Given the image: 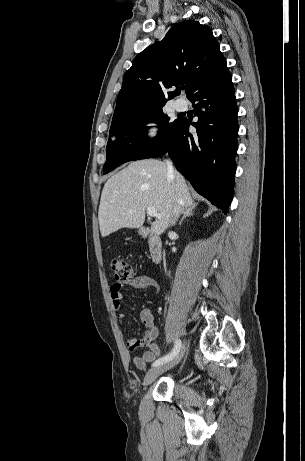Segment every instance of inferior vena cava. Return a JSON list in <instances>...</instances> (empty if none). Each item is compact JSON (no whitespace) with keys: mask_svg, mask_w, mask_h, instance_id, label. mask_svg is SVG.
<instances>
[{"mask_svg":"<svg viewBox=\"0 0 305 461\" xmlns=\"http://www.w3.org/2000/svg\"><path fill=\"white\" fill-rule=\"evenodd\" d=\"M166 166H167V173H168V176L170 178L173 179L174 177V169H173V166H172V162L167 160L166 161ZM177 203L176 206L173 208V211L171 213V217H170V225H174L179 217V214L181 213V206H180V199L177 200Z\"/></svg>","mask_w":305,"mask_h":461,"instance_id":"inferior-vena-cava-1","label":"inferior vena cava"}]
</instances>
